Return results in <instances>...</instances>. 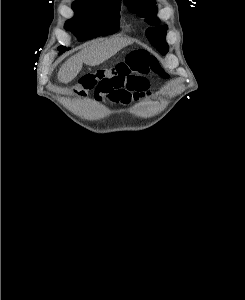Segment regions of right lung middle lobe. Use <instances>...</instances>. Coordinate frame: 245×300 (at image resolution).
<instances>
[{"mask_svg": "<svg viewBox=\"0 0 245 300\" xmlns=\"http://www.w3.org/2000/svg\"><path fill=\"white\" fill-rule=\"evenodd\" d=\"M75 16L68 20L65 29L74 33L78 41L90 39L93 34L80 26L81 22L92 21L98 24L97 34L93 37L116 33L120 23V2L110 0L75 1L73 3ZM61 52L68 50L60 47Z\"/></svg>", "mask_w": 245, "mask_h": 300, "instance_id": "right-lung-middle-lobe-1", "label": "right lung middle lobe"}]
</instances>
